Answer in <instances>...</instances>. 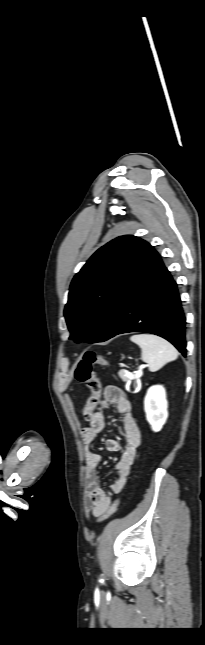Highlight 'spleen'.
Here are the masks:
<instances>
[{
    "label": "spleen",
    "mask_w": 205,
    "mask_h": 645,
    "mask_svg": "<svg viewBox=\"0 0 205 645\" xmlns=\"http://www.w3.org/2000/svg\"><path fill=\"white\" fill-rule=\"evenodd\" d=\"M130 340L140 346L142 360L149 366L151 372H156L168 362L178 357L176 348L167 340L152 334H137Z\"/></svg>",
    "instance_id": "1"
}]
</instances>
